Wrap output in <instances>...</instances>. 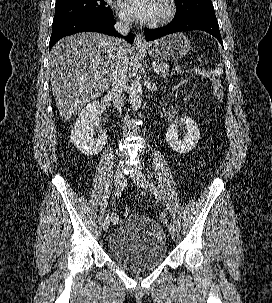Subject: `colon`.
I'll return each mask as SVG.
<instances>
[{
    "mask_svg": "<svg viewBox=\"0 0 272 303\" xmlns=\"http://www.w3.org/2000/svg\"><path fill=\"white\" fill-rule=\"evenodd\" d=\"M171 72L175 76L190 75V76H198V77L211 79L213 86H214V92H215L216 98L221 99V97L223 95L222 82L219 78H217L213 75V72L211 70H207L204 68H187L184 64L177 62L172 65ZM123 214L128 215L129 209L124 208Z\"/></svg>",
    "mask_w": 272,
    "mask_h": 303,
    "instance_id": "5ec220e1",
    "label": "colon"
}]
</instances>
